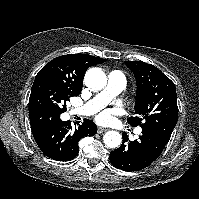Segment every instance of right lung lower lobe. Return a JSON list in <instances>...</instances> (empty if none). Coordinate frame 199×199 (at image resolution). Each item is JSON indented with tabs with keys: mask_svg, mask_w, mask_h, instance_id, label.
Segmentation results:
<instances>
[{
	"mask_svg": "<svg viewBox=\"0 0 199 199\" xmlns=\"http://www.w3.org/2000/svg\"><path fill=\"white\" fill-rule=\"evenodd\" d=\"M60 114L49 107L29 109L32 134L41 151L53 160L66 161L78 155L79 140L95 135L97 126L85 119L74 128L69 121H62Z\"/></svg>",
	"mask_w": 199,
	"mask_h": 199,
	"instance_id": "98d812e1",
	"label": "right lung lower lobe"
}]
</instances>
